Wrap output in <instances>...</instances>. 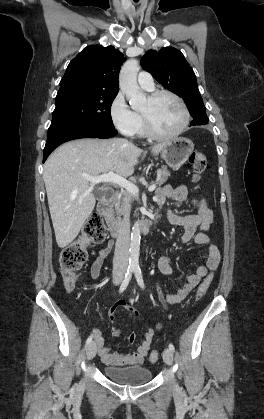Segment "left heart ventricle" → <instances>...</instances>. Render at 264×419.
<instances>
[{
	"label": "left heart ventricle",
	"instance_id": "1",
	"mask_svg": "<svg viewBox=\"0 0 264 419\" xmlns=\"http://www.w3.org/2000/svg\"><path fill=\"white\" fill-rule=\"evenodd\" d=\"M143 112L150 116L156 131L160 134L174 133L183 122L180 105L168 95L161 96L155 101L147 99Z\"/></svg>",
	"mask_w": 264,
	"mask_h": 419
}]
</instances>
